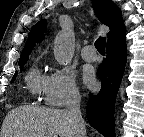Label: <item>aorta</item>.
Masks as SVG:
<instances>
[{
    "mask_svg": "<svg viewBox=\"0 0 144 137\" xmlns=\"http://www.w3.org/2000/svg\"><path fill=\"white\" fill-rule=\"evenodd\" d=\"M75 36L72 32L60 34L54 41V57L58 64L67 65L74 55Z\"/></svg>",
    "mask_w": 144,
    "mask_h": 137,
    "instance_id": "obj_1",
    "label": "aorta"
}]
</instances>
